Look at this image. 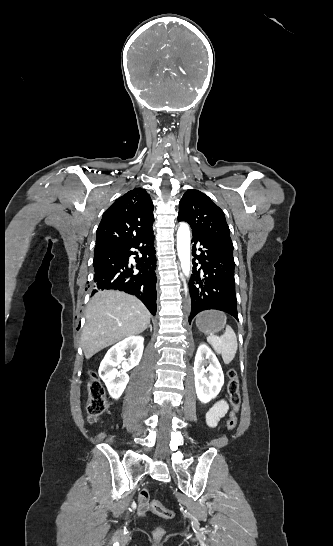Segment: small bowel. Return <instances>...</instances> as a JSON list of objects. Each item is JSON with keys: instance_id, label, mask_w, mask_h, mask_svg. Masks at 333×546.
<instances>
[{"instance_id": "c3829d8e", "label": "small bowel", "mask_w": 333, "mask_h": 546, "mask_svg": "<svg viewBox=\"0 0 333 546\" xmlns=\"http://www.w3.org/2000/svg\"><path fill=\"white\" fill-rule=\"evenodd\" d=\"M228 405L226 401L220 400L216 402L206 414V424L210 428L217 427L219 421L226 415ZM150 493L147 489L142 490L138 497V511L144 514L148 511Z\"/></svg>"}]
</instances>
